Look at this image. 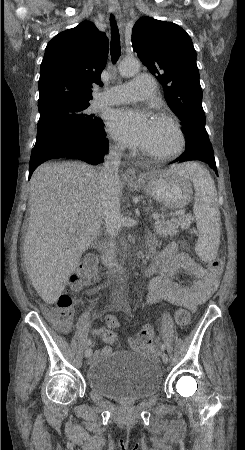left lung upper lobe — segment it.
Masks as SVG:
<instances>
[{"mask_svg":"<svg viewBox=\"0 0 245 450\" xmlns=\"http://www.w3.org/2000/svg\"><path fill=\"white\" fill-rule=\"evenodd\" d=\"M132 46L162 85L169 107L182 122L185 152L210 148L196 51L187 32L172 22L142 17L133 27Z\"/></svg>","mask_w":245,"mask_h":450,"instance_id":"obj_1","label":"left lung upper lobe"}]
</instances>
